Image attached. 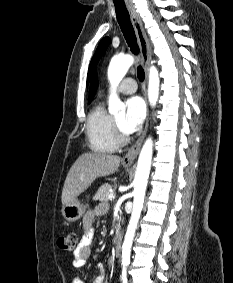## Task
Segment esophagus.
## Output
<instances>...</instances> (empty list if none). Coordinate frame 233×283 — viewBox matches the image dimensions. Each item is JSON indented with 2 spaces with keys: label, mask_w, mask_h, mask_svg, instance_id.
<instances>
[{
  "label": "esophagus",
  "mask_w": 233,
  "mask_h": 283,
  "mask_svg": "<svg viewBox=\"0 0 233 283\" xmlns=\"http://www.w3.org/2000/svg\"><path fill=\"white\" fill-rule=\"evenodd\" d=\"M128 11L130 13L131 21L140 47L142 61L144 63V69H145L144 96L147 101L148 70L152 56L151 46L139 14L136 12V10L133 7H128ZM148 124H149V110L147 113V120L144 131L141 134V136L138 138V140L131 146V148L128 150L126 155L123 157L122 161L124 163H132L135 160V158L138 156L141 145L146 136Z\"/></svg>",
  "instance_id": "esophagus-1"
}]
</instances>
